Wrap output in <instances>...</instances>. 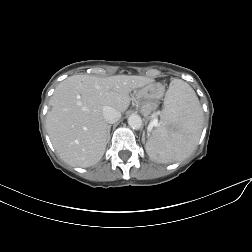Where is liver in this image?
Returning <instances> with one entry per match:
<instances>
[{
    "label": "liver",
    "mask_w": 252,
    "mask_h": 252,
    "mask_svg": "<svg viewBox=\"0 0 252 252\" xmlns=\"http://www.w3.org/2000/svg\"><path fill=\"white\" fill-rule=\"evenodd\" d=\"M151 82V78L136 75H73L62 81L50 98L46 116L47 133L60 158L77 167L97 164L108 141L103 107L124 113L130 105V93Z\"/></svg>",
    "instance_id": "1"
}]
</instances>
